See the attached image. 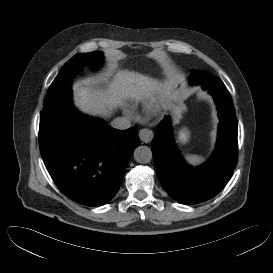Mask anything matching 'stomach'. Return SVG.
<instances>
[{
    "instance_id": "1",
    "label": "stomach",
    "mask_w": 273,
    "mask_h": 273,
    "mask_svg": "<svg viewBox=\"0 0 273 273\" xmlns=\"http://www.w3.org/2000/svg\"><path fill=\"white\" fill-rule=\"evenodd\" d=\"M188 137V132L185 129L179 133V139L182 143H185L188 140Z\"/></svg>"
}]
</instances>
